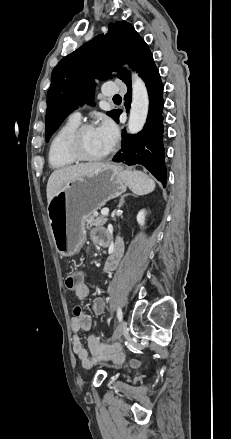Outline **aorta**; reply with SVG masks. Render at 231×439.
<instances>
[{"mask_svg":"<svg viewBox=\"0 0 231 439\" xmlns=\"http://www.w3.org/2000/svg\"><path fill=\"white\" fill-rule=\"evenodd\" d=\"M148 110L149 97L145 83L136 73H132V103L128 121L130 134H136L143 129Z\"/></svg>","mask_w":231,"mask_h":439,"instance_id":"aorta-1","label":"aorta"}]
</instances>
